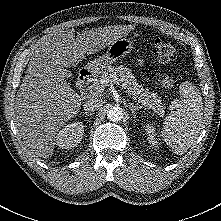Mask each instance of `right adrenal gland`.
<instances>
[{
  "mask_svg": "<svg viewBox=\"0 0 221 221\" xmlns=\"http://www.w3.org/2000/svg\"><path fill=\"white\" fill-rule=\"evenodd\" d=\"M85 115H87V116H91L92 115V113H89V112H86V111H84L83 112Z\"/></svg>",
  "mask_w": 221,
  "mask_h": 221,
  "instance_id": "1",
  "label": "right adrenal gland"
}]
</instances>
